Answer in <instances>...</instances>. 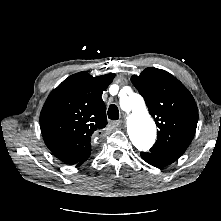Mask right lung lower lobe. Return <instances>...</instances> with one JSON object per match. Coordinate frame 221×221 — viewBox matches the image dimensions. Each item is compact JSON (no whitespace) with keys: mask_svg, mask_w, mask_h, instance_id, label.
<instances>
[{"mask_svg":"<svg viewBox=\"0 0 221 221\" xmlns=\"http://www.w3.org/2000/svg\"><path fill=\"white\" fill-rule=\"evenodd\" d=\"M82 163L78 164L77 166H80Z\"/></svg>","mask_w":221,"mask_h":221,"instance_id":"obj_1","label":"right lung lower lobe"}]
</instances>
